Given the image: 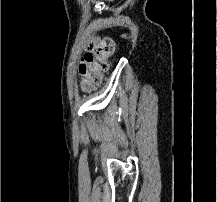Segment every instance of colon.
Wrapping results in <instances>:
<instances>
[{
    "instance_id": "1",
    "label": "colon",
    "mask_w": 217,
    "mask_h": 202,
    "mask_svg": "<svg viewBox=\"0 0 217 202\" xmlns=\"http://www.w3.org/2000/svg\"><path fill=\"white\" fill-rule=\"evenodd\" d=\"M115 43L109 37L98 38L88 45L87 52L79 60V73L82 76V88L95 91L109 69L108 59L112 55Z\"/></svg>"
}]
</instances>
